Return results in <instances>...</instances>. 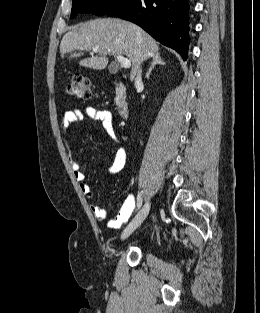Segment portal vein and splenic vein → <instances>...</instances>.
Listing matches in <instances>:
<instances>
[{
	"mask_svg": "<svg viewBox=\"0 0 260 313\" xmlns=\"http://www.w3.org/2000/svg\"><path fill=\"white\" fill-rule=\"evenodd\" d=\"M92 51L96 52L97 48H93ZM117 60L121 64V66H123L124 68L128 69L131 67V61L129 59L125 58L124 56L117 55Z\"/></svg>",
	"mask_w": 260,
	"mask_h": 313,
	"instance_id": "1",
	"label": "portal vein and splenic vein"
}]
</instances>
